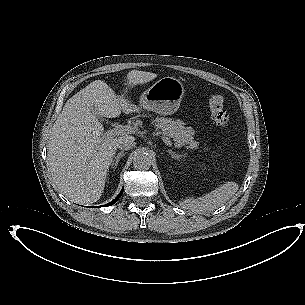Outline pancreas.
I'll return each instance as SVG.
<instances>
[{
  "instance_id": "obj_1",
  "label": "pancreas",
  "mask_w": 305,
  "mask_h": 305,
  "mask_svg": "<svg viewBox=\"0 0 305 305\" xmlns=\"http://www.w3.org/2000/svg\"><path fill=\"white\" fill-rule=\"evenodd\" d=\"M156 126L160 128L164 134L172 138L177 147L185 146V148L190 149L198 148V142L193 139L194 130L191 127H185L182 122L163 118L156 121Z\"/></svg>"
}]
</instances>
